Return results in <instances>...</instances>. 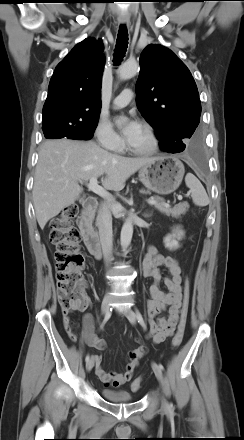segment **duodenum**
<instances>
[{
	"instance_id": "410a0bca",
	"label": "duodenum",
	"mask_w": 244,
	"mask_h": 440,
	"mask_svg": "<svg viewBox=\"0 0 244 440\" xmlns=\"http://www.w3.org/2000/svg\"><path fill=\"white\" fill-rule=\"evenodd\" d=\"M98 206V201L94 197H89L83 205V209L81 212L80 220H79V229L83 241L90 252L91 255L100 259L101 258V245L96 234L93 229L92 221L94 218L95 211Z\"/></svg>"
}]
</instances>
